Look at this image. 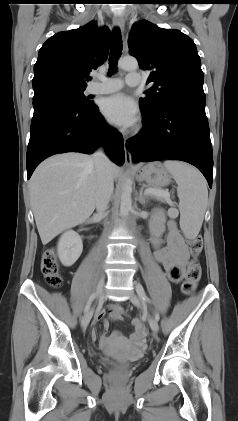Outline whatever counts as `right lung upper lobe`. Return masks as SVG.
I'll return each mask as SVG.
<instances>
[{
	"label": "right lung upper lobe",
	"mask_w": 238,
	"mask_h": 421,
	"mask_svg": "<svg viewBox=\"0 0 238 421\" xmlns=\"http://www.w3.org/2000/svg\"><path fill=\"white\" fill-rule=\"evenodd\" d=\"M109 42V29L94 21L53 35L39 50L33 87L46 83L86 87L91 70L107 59Z\"/></svg>",
	"instance_id": "right-lung-upper-lobe-1"
}]
</instances>
